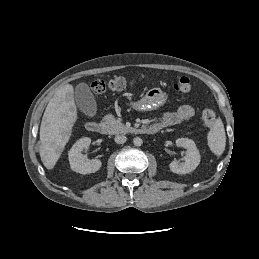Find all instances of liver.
<instances>
[{"label": "liver", "mask_w": 259, "mask_h": 259, "mask_svg": "<svg viewBox=\"0 0 259 259\" xmlns=\"http://www.w3.org/2000/svg\"><path fill=\"white\" fill-rule=\"evenodd\" d=\"M77 118L74 88L66 84L50 99L42 117L38 144L41 160L47 169L51 170L56 165Z\"/></svg>", "instance_id": "liver-1"}]
</instances>
